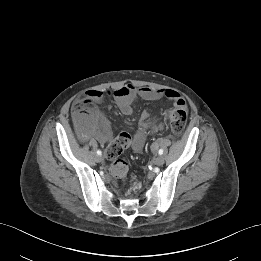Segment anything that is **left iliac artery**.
<instances>
[{
	"instance_id": "1",
	"label": "left iliac artery",
	"mask_w": 261,
	"mask_h": 261,
	"mask_svg": "<svg viewBox=\"0 0 261 261\" xmlns=\"http://www.w3.org/2000/svg\"><path fill=\"white\" fill-rule=\"evenodd\" d=\"M163 152H164L163 149H159V151H158L159 155H162Z\"/></svg>"
}]
</instances>
